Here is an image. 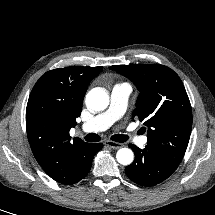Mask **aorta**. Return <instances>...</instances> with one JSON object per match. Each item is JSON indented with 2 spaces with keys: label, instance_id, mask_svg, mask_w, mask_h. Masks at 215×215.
<instances>
[{
  "label": "aorta",
  "instance_id": "aorta-1",
  "mask_svg": "<svg viewBox=\"0 0 215 215\" xmlns=\"http://www.w3.org/2000/svg\"><path fill=\"white\" fill-rule=\"evenodd\" d=\"M109 96L100 89L94 88L86 95V105L92 110L101 111L108 107ZM117 161L122 165H129L133 162L134 154L128 148H121L116 154Z\"/></svg>",
  "mask_w": 215,
  "mask_h": 215
}]
</instances>
